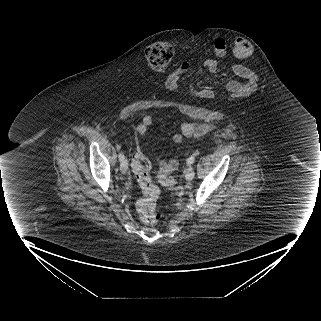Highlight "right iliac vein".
<instances>
[{
  "label": "right iliac vein",
  "mask_w": 321,
  "mask_h": 321,
  "mask_svg": "<svg viewBox=\"0 0 321 321\" xmlns=\"http://www.w3.org/2000/svg\"><path fill=\"white\" fill-rule=\"evenodd\" d=\"M120 169H121L122 173H126V171H127V169H128V161H127L126 158H124V159L121 161Z\"/></svg>",
  "instance_id": "obj_1"
}]
</instances>
